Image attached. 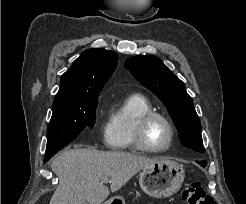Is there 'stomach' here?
Returning a JSON list of instances; mask_svg holds the SVG:
<instances>
[{"instance_id": "obj_1", "label": "stomach", "mask_w": 246, "mask_h": 204, "mask_svg": "<svg viewBox=\"0 0 246 204\" xmlns=\"http://www.w3.org/2000/svg\"><path fill=\"white\" fill-rule=\"evenodd\" d=\"M184 177L183 165L175 161L161 159L142 170L139 184L150 197L166 198L181 188ZM104 204H125V201L121 196H114Z\"/></svg>"}]
</instances>
